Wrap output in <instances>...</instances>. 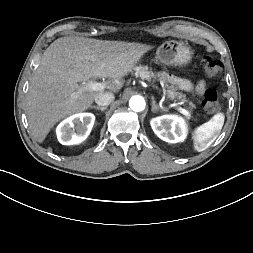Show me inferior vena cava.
<instances>
[{
    "mask_svg": "<svg viewBox=\"0 0 253 253\" xmlns=\"http://www.w3.org/2000/svg\"><path fill=\"white\" fill-rule=\"evenodd\" d=\"M114 94L111 92H101L95 96V102L99 106H107L114 100Z\"/></svg>",
    "mask_w": 253,
    "mask_h": 253,
    "instance_id": "obj_1",
    "label": "inferior vena cava"
}]
</instances>
